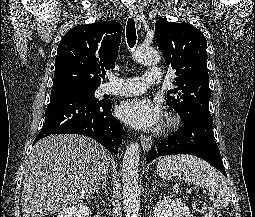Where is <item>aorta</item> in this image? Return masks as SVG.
Wrapping results in <instances>:
<instances>
[{"instance_id":"762f6f07","label":"aorta","mask_w":255,"mask_h":217,"mask_svg":"<svg viewBox=\"0 0 255 217\" xmlns=\"http://www.w3.org/2000/svg\"><path fill=\"white\" fill-rule=\"evenodd\" d=\"M133 58L140 64H156L160 60V55L155 49L139 47L134 50ZM139 155V144L133 142L127 146L122 161V194L126 217H138L139 215Z\"/></svg>"}]
</instances>
